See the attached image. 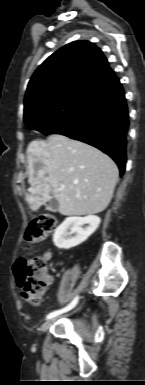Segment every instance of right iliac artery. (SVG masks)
Wrapping results in <instances>:
<instances>
[{
  "label": "right iliac artery",
  "instance_id": "82829eb1",
  "mask_svg": "<svg viewBox=\"0 0 145 385\" xmlns=\"http://www.w3.org/2000/svg\"><path fill=\"white\" fill-rule=\"evenodd\" d=\"M78 300H79V297L76 296L73 299V301L68 306H66L63 309L56 310V311H53V312L49 313L46 318L47 319H52V318H54V317H56V316H58V315H60L62 313H65V312L71 310L72 308H74L76 306V304L78 303Z\"/></svg>",
  "mask_w": 145,
  "mask_h": 385
}]
</instances>
